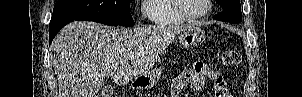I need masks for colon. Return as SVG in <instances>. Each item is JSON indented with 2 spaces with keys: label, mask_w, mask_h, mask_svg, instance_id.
Returning <instances> with one entry per match:
<instances>
[{
  "label": "colon",
  "mask_w": 302,
  "mask_h": 97,
  "mask_svg": "<svg viewBox=\"0 0 302 97\" xmlns=\"http://www.w3.org/2000/svg\"><path fill=\"white\" fill-rule=\"evenodd\" d=\"M221 60L225 66H236L241 62V54L236 50L225 51Z\"/></svg>",
  "instance_id": "obj_1"
}]
</instances>
